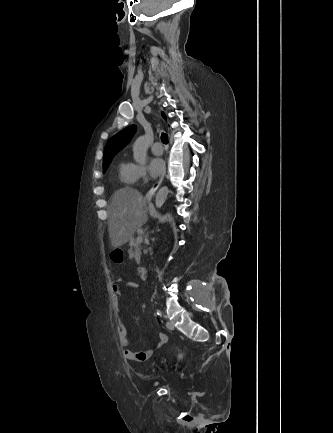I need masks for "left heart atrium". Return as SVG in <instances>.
<instances>
[{
  "mask_svg": "<svg viewBox=\"0 0 333 433\" xmlns=\"http://www.w3.org/2000/svg\"><path fill=\"white\" fill-rule=\"evenodd\" d=\"M165 168V163L160 157H154L150 161V173L153 177L159 176Z\"/></svg>",
  "mask_w": 333,
  "mask_h": 433,
  "instance_id": "left-heart-atrium-1",
  "label": "left heart atrium"
}]
</instances>
